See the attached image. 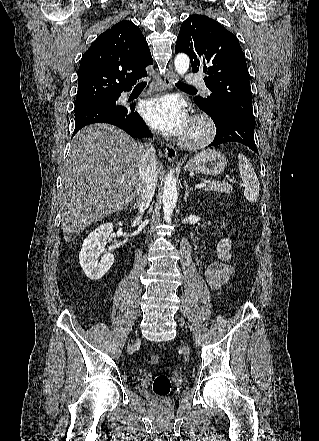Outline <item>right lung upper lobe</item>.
<instances>
[{
    "label": "right lung upper lobe",
    "instance_id": "right-lung-upper-lobe-1",
    "mask_svg": "<svg viewBox=\"0 0 319 441\" xmlns=\"http://www.w3.org/2000/svg\"><path fill=\"white\" fill-rule=\"evenodd\" d=\"M153 63L146 39L131 21L102 33L82 56L76 102L116 97Z\"/></svg>",
    "mask_w": 319,
    "mask_h": 441
}]
</instances>
